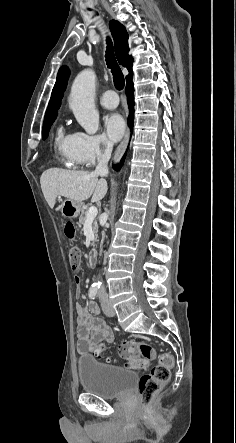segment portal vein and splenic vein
Masks as SVG:
<instances>
[{
    "label": "portal vein and splenic vein",
    "mask_w": 236,
    "mask_h": 443,
    "mask_svg": "<svg viewBox=\"0 0 236 443\" xmlns=\"http://www.w3.org/2000/svg\"><path fill=\"white\" fill-rule=\"evenodd\" d=\"M98 210L96 207H90L88 210V213L86 215V221L87 222H92L95 217L97 216Z\"/></svg>",
    "instance_id": "portal-vein-and-splenic-vein-1"
}]
</instances>
